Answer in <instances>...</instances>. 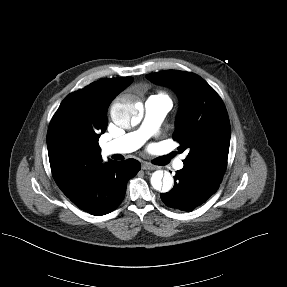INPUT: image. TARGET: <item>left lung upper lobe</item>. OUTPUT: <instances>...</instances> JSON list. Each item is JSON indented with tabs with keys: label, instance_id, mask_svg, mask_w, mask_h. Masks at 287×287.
I'll return each instance as SVG.
<instances>
[{
	"label": "left lung upper lobe",
	"instance_id": "left-lung-upper-lobe-1",
	"mask_svg": "<svg viewBox=\"0 0 287 287\" xmlns=\"http://www.w3.org/2000/svg\"><path fill=\"white\" fill-rule=\"evenodd\" d=\"M146 77L153 83L171 87L180 97L173 138L180 143V153L188 152L183 163L220 183L227 166L231 133L220 96L194 73L168 70Z\"/></svg>",
	"mask_w": 287,
	"mask_h": 287
}]
</instances>
